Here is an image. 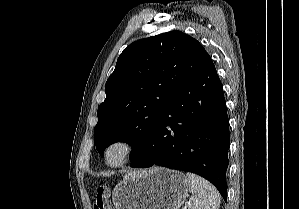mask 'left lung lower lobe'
Instances as JSON below:
<instances>
[{
    "mask_svg": "<svg viewBox=\"0 0 299 209\" xmlns=\"http://www.w3.org/2000/svg\"><path fill=\"white\" fill-rule=\"evenodd\" d=\"M229 144L223 87L210 61L165 105L131 167L159 165L198 174L214 184L226 201Z\"/></svg>",
    "mask_w": 299,
    "mask_h": 209,
    "instance_id": "0a47b994",
    "label": "left lung lower lobe"
}]
</instances>
